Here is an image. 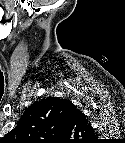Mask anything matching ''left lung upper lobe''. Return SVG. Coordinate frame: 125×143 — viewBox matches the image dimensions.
I'll return each mask as SVG.
<instances>
[{
    "instance_id": "left-lung-upper-lobe-1",
    "label": "left lung upper lobe",
    "mask_w": 125,
    "mask_h": 143,
    "mask_svg": "<svg viewBox=\"0 0 125 143\" xmlns=\"http://www.w3.org/2000/svg\"><path fill=\"white\" fill-rule=\"evenodd\" d=\"M70 101L57 97H48L28 107L17 126L4 136L7 140L39 143L40 139H53L71 135L76 126L89 125L85 117L67 125V104ZM71 132V134H70Z\"/></svg>"
}]
</instances>
